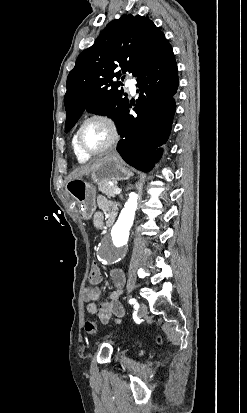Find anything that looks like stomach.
<instances>
[{"mask_svg": "<svg viewBox=\"0 0 247 413\" xmlns=\"http://www.w3.org/2000/svg\"><path fill=\"white\" fill-rule=\"evenodd\" d=\"M133 176L131 168L122 162L119 156H103L93 170L84 174V178H72L68 180L65 190L69 196L76 200L81 211L82 219L88 221L96 211L95 184L103 182H115V180H126ZM90 178L92 182H88Z\"/></svg>", "mask_w": 247, "mask_h": 413, "instance_id": "obj_1", "label": "stomach"}]
</instances>
